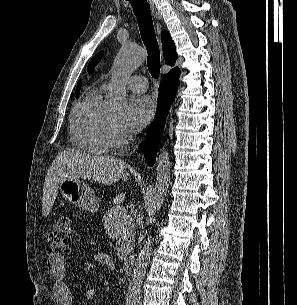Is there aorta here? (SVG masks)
Returning <instances> with one entry per match:
<instances>
[{
	"label": "aorta",
	"instance_id": "aorta-1",
	"mask_svg": "<svg viewBox=\"0 0 297 305\" xmlns=\"http://www.w3.org/2000/svg\"><path fill=\"white\" fill-rule=\"evenodd\" d=\"M146 58L143 49L124 45L116 56L112 71L113 77L109 87L107 107L115 114H124L127 110V91L125 78L129 76ZM170 157L164 148L157 158L156 182L152 198V211H159L163 205L164 199L170 184ZM154 220V219H153ZM152 236H148L137 257L135 268L129 282L127 295L135 297L139 294L142 280L145 276L148 260L152 251Z\"/></svg>",
	"mask_w": 297,
	"mask_h": 305
}]
</instances>
